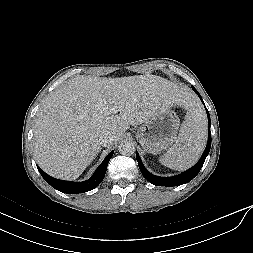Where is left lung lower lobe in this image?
Listing matches in <instances>:
<instances>
[{
  "instance_id": "1",
  "label": "left lung lower lobe",
  "mask_w": 253,
  "mask_h": 253,
  "mask_svg": "<svg viewBox=\"0 0 253 253\" xmlns=\"http://www.w3.org/2000/svg\"><path fill=\"white\" fill-rule=\"evenodd\" d=\"M192 89L195 91L196 94H198L201 101L203 102L202 97L197 92V90L193 86H192ZM203 104H204V102H203ZM206 112H207V116H208L209 129H208V142H207L205 151L203 152L198 163L195 166H193L192 168L185 171L184 173H181V174H179L177 176H173V177L155 176L146 170V168L144 167V165L139 157V154L136 152V159L138 161L139 169H140L142 175L150 183L157 185V186H178V185L188 183L199 173L200 169L202 168V166L204 164V161H205L207 155L209 154L210 147H211V132H210L211 120H210V116H209V112H208L207 108H206Z\"/></svg>"
}]
</instances>
